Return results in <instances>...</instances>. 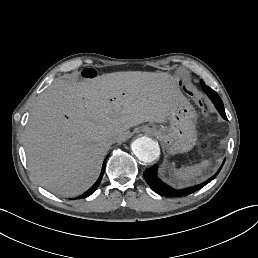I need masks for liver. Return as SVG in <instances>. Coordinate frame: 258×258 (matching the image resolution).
Segmentation results:
<instances>
[{
	"label": "liver",
	"mask_w": 258,
	"mask_h": 258,
	"mask_svg": "<svg viewBox=\"0 0 258 258\" xmlns=\"http://www.w3.org/2000/svg\"><path fill=\"white\" fill-rule=\"evenodd\" d=\"M180 90L167 72L127 71L76 83L56 80L37 99L25 127L28 169L52 193L74 197L96 180L115 133L164 123ZM68 117V118H66Z\"/></svg>",
	"instance_id": "liver-1"
}]
</instances>
